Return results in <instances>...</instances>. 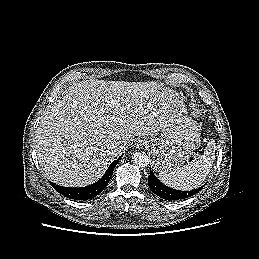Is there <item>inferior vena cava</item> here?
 I'll use <instances>...</instances> for the list:
<instances>
[{
    "label": "inferior vena cava",
    "mask_w": 259,
    "mask_h": 259,
    "mask_svg": "<svg viewBox=\"0 0 259 259\" xmlns=\"http://www.w3.org/2000/svg\"><path fill=\"white\" fill-rule=\"evenodd\" d=\"M112 148H113L114 150H116V149L123 150V149L125 148V144H123V143H121V142H118V143L114 144V145L112 146Z\"/></svg>",
    "instance_id": "inferior-vena-cava-1"
}]
</instances>
